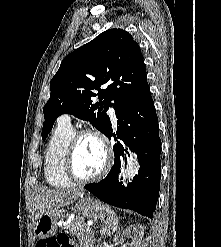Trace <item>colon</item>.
<instances>
[{"instance_id":"5ec220e1","label":"colon","mask_w":221,"mask_h":247,"mask_svg":"<svg viewBox=\"0 0 221 247\" xmlns=\"http://www.w3.org/2000/svg\"><path fill=\"white\" fill-rule=\"evenodd\" d=\"M67 236L64 234L48 238L44 243H40L39 247H66L68 245Z\"/></svg>"}]
</instances>
